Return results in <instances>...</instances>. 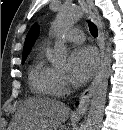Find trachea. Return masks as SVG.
<instances>
[{"mask_svg":"<svg viewBox=\"0 0 123 130\" xmlns=\"http://www.w3.org/2000/svg\"><path fill=\"white\" fill-rule=\"evenodd\" d=\"M89 30L93 37L98 36V29L91 21H89Z\"/></svg>","mask_w":123,"mask_h":130,"instance_id":"trachea-1","label":"trachea"}]
</instances>
